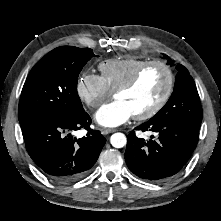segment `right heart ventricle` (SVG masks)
Segmentation results:
<instances>
[{"label": "right heart ventricle", "instance_id": "right-heart-ventricle-1", "mask_svg": "<svg viewBox=\"0 0 221 221\" xmlns=\"http://www.w3.org/2000/svg\"><path fill=\"white\" fill-rule=\"evenodd\" d=\"M146 61L147 60L145 59L136 57H123L105 60L98 66L100 77L105 86L110 91H114Z\"/></svg>", "mask_w": 221, "mask_h": 221}]
</instances>
